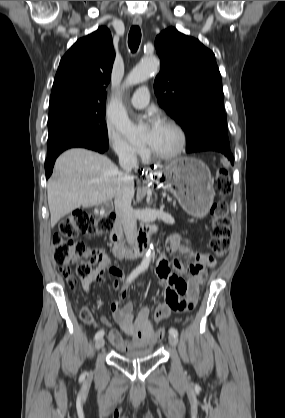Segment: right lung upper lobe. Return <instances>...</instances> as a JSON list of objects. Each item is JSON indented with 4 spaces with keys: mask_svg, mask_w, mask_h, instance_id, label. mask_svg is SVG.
Masks as SVG:
<instances>
[{
    "mask_svg": "<svg viewBox=\"0 0 285 418\" xmlns=\"http://www.w3.org/2000/svg\"><path fill=\"white\" fill-rule=\"evenodd\" d=\"M114 59L111 33L106 27L79 39L60 61L49 104L60 101L105 104Z\"/></svg>",
    "mask_w": 285,
    "mask_h": 418,
    "instance_id": "1",
    "label": "right lung upper lobe"
}]
</instances>
